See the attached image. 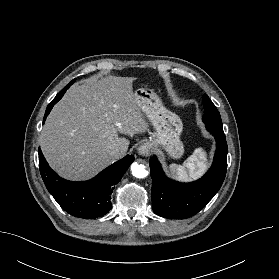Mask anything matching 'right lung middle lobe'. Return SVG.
Returning <instances> with one entry per match:
<instances>
[{
  "mask_svg": "<svg viewBox=\"0 0 279 279\" xmlns=\"http://www.w3.org/2000/svg\"><path fill=\"white\" fill-rule=\"evenodd\" d=\"M74 81H75V79H74V80H72L70 83L72 84Z\"/></svg>",
  "mask_w": 279,
  "mask_h": 279,
  "instance_id": "1",
  "label": "right lung middle lobe"
}]
</instances>
